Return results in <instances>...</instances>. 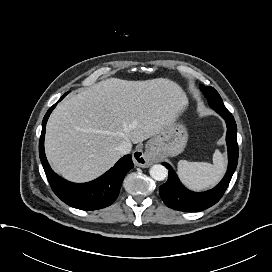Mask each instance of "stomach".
Here are the masks:
<instances>
[{
  "instance_id": "stomach-1",
  "label": "stomach",
  "mask_w": 272,
  "mask_h": 272,
  "mask_svg": "<svg viewBox=\"0 0 272 272\" xmlns=\"http://www.w3.org/2000/svg\"><path fill=\"white\" fill-rule=\"evenodd\" d=\"M187 141L185 126L174 120L147 142L146 152L153 157L177 156L184 151Z\"/></svg>"
}]
</instances>
